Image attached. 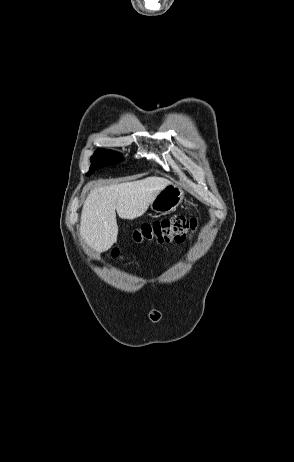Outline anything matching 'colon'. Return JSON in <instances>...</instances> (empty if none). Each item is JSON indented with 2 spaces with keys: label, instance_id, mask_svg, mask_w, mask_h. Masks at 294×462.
I'll list each match as a JSON object with an SVG mask.
<instances>
[{
  "label": "colon",
  "instance_id": "5ec220e1",
  "mask_svg": "<svg viewBox=\"0 0 294 462\" xmlns=\"http://www.w3.org/2000/svg\"><path fill=\"white\" fill-rule=\"evenodd\" d=\"M197 228V221L182 215L153 221L141 225L134 232L136 242L154 241L158 244L183 243L190 239ZM118 251H113L117 255Z\"/></svg>",
  "mask_w": 294,
  "mask_h": 462
}]
</instances>
